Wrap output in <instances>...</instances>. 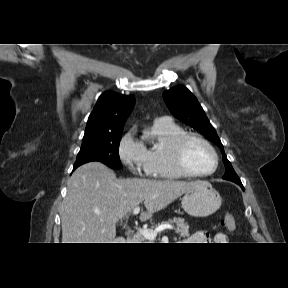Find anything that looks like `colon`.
<instances>
[{
    "label": "colon",
    "instance_id": "5ec220e1",
    "mask_svg": "<svg viewBox=\"0 0 288 288\" xmlns=\"http://www.w3.org/2000/svg\"><path fill=\"white\" fill-rule=\"evenodd\" d=\"M222 225L225 227V229H227L228 231H233L236 227V222L235 219L233 217V215L227 213L224 216V219L222 221Z\"/></svg>",
    "mask_w": 288,
    "mask_h": 288
}]
</instances>
